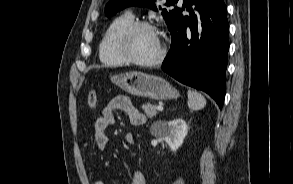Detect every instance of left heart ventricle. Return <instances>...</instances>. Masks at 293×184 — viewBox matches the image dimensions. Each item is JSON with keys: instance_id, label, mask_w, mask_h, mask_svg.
Masks as SVG:
<instances>
[{"instance_id": "b2bd125f", "label": "left heart ventricle", "mask_w": 293, "mask_h": 184, "mask_svg": "<svg viewBox=\"0 0 293 184\" xmlns=\"http://www.w3.org/2000/svg\"><path fill=\"white\" fill-rule=\"evenodd\" d=\"M159 36L147 28L138 29L133 33L129 42V51L139 60H152L160 52Z\"/></svg>"}]
</instances>
